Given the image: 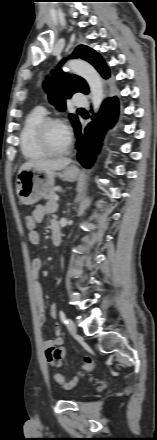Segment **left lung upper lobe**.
<instances>
[{
	"label": "left lung upper lobe",
	"mask_w": 157,
	"mask_h": 440,
	"mask_svg": "<svg viewBox=\"0 0 157 440\" xmlns=\"http://www.w3.org/2000/svg\"><path fill=\"white\" fill-rule=\"evenodd\" d=\"M71 57H81L92 64L103 78L107 79L110 77L109 68L105 61L93 49L85 45H79ZM53 74V76L44 82V88L48 91L50 102L55 105L59 111L66 109L65 99L70 98L72 94L76 92L88 94V85L81 77L63 74L61 70H56ZM69 118L75 128L79 124L78 117L74 114H70Z\"/></svg>",
	"instance_id": "obj_1"
}]
</instances>
